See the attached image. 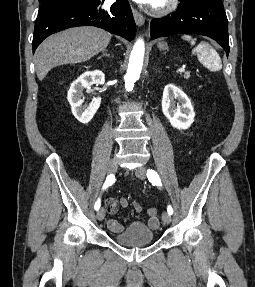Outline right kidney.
I'll list each match as a JSON object with an SVG mask.
<instances>
[{"mask_svg":"<svg viewBox=\"0 0 255 287\" xmlns=\"http://www.w3.org/2000/svg\"><path fill=\"white\" fill-rule=\"evenodd\" d=\"M104 78L105 74H103V72L94 70V72H85V74L79 76L75 82H72L67 98L71 106L72 114L77 118L78 122L88 124L101 104V98H95L89 108L82 106V90H84V88H90L93 84H104Z\"/></svg>","mask_w":255,"mask_h":287,"instance_id":"right-kidney-1","label":"right kidney"}]
</instances>
